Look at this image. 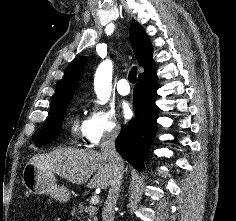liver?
<instances>
[{
	"instance_id": "6515ba94",
	"label": "liver",
	"mask_w": 236,
	"mask_h": 221,
	"mask_svg": "<svg viewBox=\"0 0 236 221\" xmlns=\"http://www.w3.org/2000/svg\"><path fill=\"white\" fill-rule=\"evenodd\" d=\"M29 163L77 185L89 181V188L106 189L113 175L107 159L102 153L93 150L58 148L50 153L33 156Z\"/></svg>"
}]
</instances>
